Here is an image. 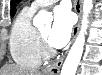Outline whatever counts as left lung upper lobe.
Returning a JSON list of instances; mask_svg holds the SVG:
<instances>
[{"mask_svg": "<svg viewBox=\"0 0 102 75\" xmlns=\"http://www.w3.org/2000/svg\"><path fill=\"white\" fill-rule=\"evenodd\" d=\"M21 0H11V16H14L16 12L15 5L19 3Z\"/></svg>", "mask_w": 102, "mask_h": 75, "instance_id": "left-lung-upper-lobe-1", "label": "left lung upper lobe"}]
</instances>
